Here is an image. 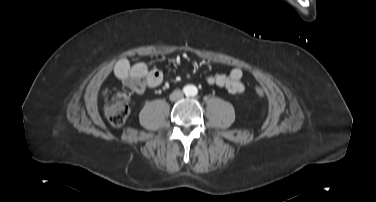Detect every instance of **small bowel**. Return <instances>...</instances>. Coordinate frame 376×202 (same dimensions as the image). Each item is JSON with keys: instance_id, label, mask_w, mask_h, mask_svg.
Wrapping results in <instances>:
<instances>
[{"instance_id": "c3829d8e", "label": "small bowel", "mask_w": 376, "mask_h": 202, "mask_svg": "<svg viewBox=\"0 0 376 202\" xmlns=\"http://www.w3.org/2000/svg\"><path fill=\"white\" fill-rule=\"evenodd\" d=\"M219 64L229 65L227 61H218ZM116 79L135 94H142L147 89L159 86L165 76L162 69L149 67L144 62L130 63L127 59H120L114 66ZM243 70L239 66H233L228 74H212L207 77V83L226 88L233 93H242Z\"/></svg>"}]
</instances>
